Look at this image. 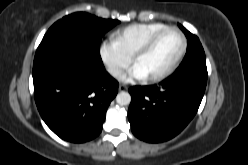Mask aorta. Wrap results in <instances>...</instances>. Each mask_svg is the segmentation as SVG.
Here are the masks:
<instances>
[{"instance_id": "762f6f07", "label": "aorta", "mask_w": 248, "mask_h": 165, "mask_svg": "<svg viewBox=\"0 0 248 165\" xmlns=\"http://www.w3.org/2000/svg\"><path fill=\"white\" fill-rule=\"evenodd\" d=\"M116 102L121 106L129 105L131 102V95L128 92L122 91L117 94Z\"/></svg>"}]
</instances>
